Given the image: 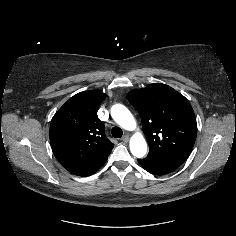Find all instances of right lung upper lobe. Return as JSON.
I'll list each match as a JSON object with an SVG mask.
<instances>
[{"label":"right lung upper lobe","mask_w":236,"mask_h":236,"mask_svg":"<svg viewBox=\"0 0 236 236\" xmlns=\"http://www.w3.org/2000/svg\"><path fill=\"white\" fill-rule=\"evenodd\" d=\"M106 95L84 91L71 97L55 113L50 125V144L59 163L77 176H90L107 160L114 146L97 116Z\"/></svg>","instance_id":"1"}]
</instances>
